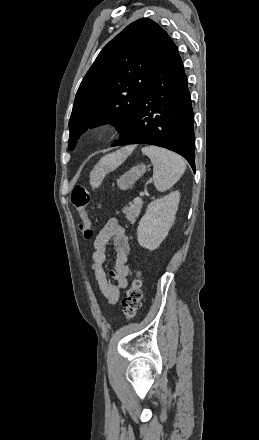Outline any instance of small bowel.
Wrapping results in <instances>:
<instances>
[{
  "label": "small bowel",
  "mask_w": 259,
  "mask_h": 440,
  "mask_svg": "<svg viewBox=\"0 0 259 440\" xmlns=\"http://www.w3.org/2000/svg\"><path fill=\"white\" fill-rule=\"evenodd\" d=\"M111 244L115 251L114 268L106 271L104 265L107 260V246ZM91 270L97 285L110 303L115 304L120 298L121 290L128 286L130 265L128 262L130 245L124 229L114 218L109 219L98 232L93 242Z\"/></svg>",
  "instance_id": "1"
}]
</instances>
